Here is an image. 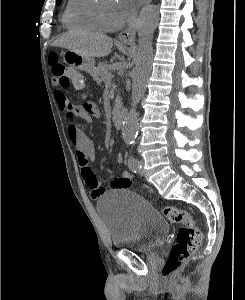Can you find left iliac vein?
Returning a JSON list of instances; mask_svg holds the SVG:
<instances>
[{"mask_svg": "<svg viewBox=\"0 0 245 300\" xmlns=\"http://www.w3.org/2000/svg\"><path fill=\"white\" fill-rule=\"evenodd\" d=\"M139 164L141 165V170H140V173H141V174H143L144 160H143V159H141V160L139 161Z\"/></svg>", "mask_w": 245, "mask_h": 300, "instance_id": "obj_1", "label": "left iliac vein"}]
</instances>
